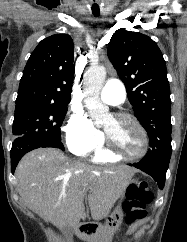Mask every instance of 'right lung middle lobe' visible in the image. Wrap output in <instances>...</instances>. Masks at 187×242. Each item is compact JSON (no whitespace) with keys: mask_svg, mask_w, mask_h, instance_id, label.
I'll return each instance as SVG.
<instances>
[{"mask_svg":"<svg viewBox=\"0 0 187 242\" xmlns=\"http://www.w3.org/2000/svg\"><path fill=\"white\" fill-rule=\"evenodd\" d=\"M67 113L66 106L27 105L15 108V137H36L61 140L60 127Z\"/></svg>","mask_w":187,"mask_h":242,"instance_id":"right-lung-middle-lobe-1","label":"right lung middle lobe"}]
</instances>
